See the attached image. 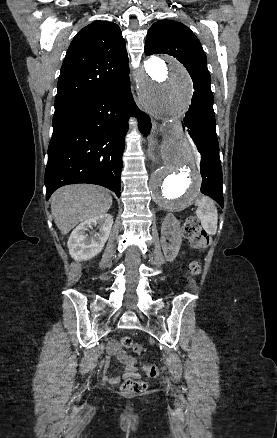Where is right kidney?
I'll return each mask as SVG.
<instances>
[{"label":"right kidney","instance_id":"obj_1","mask_svg":"<svg viewBox=\"0 0 277 438\" xmlns=\"http://www.w3.org/2000/svg\"><path fill=\"white\" fill-rule=\"evenodd\" d=\"M92 226H96L99 232L87 236L86 232ZM112 226L113 216L111 214H100V216L81 222L73 230L68 240L67 246L71 258H74V260H90V258L100 254L109 238Z\"/></svg>","mask_w":277,"mask_h":438}]
</instances>
